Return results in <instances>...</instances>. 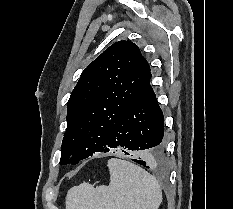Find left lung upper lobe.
<instances>
[{
  "label": "left lung upper lobe",
  "instance_id": "5c2ea615",
  "mask_svg": "<svg viewBox=\"0 0 233 209\" xmlns=\"http://www.w3.org/2000/svg\"><path fill=\"white\" fill-rule=\"evenodd\" d=\"M150 72L139 48L118 41L81 74L68 100L60 164H77L104 152L110 131Z\"/></svg>",
  "mask_w": 233,
  "mask_h": 209
}]
</instances>
